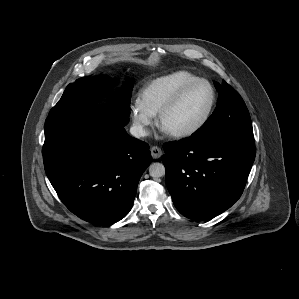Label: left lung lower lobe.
Masks as SVG:
<instances>
[{"instance_id": "obj_1", "label": "left lung lower lobe", "mask_w": 299, "mask_h": 299, "mask_svg": "<svg viewBox=\"0 0 299 299\" xmlns=\"http://www.w3.org/2000/svg\"><path fill=\"white\" fill-rule=\"evenodd\" d=\"M166 185L177 210L193 220L213 218L241 196L255 159L254 138L165 143Z\"/></svg>"}]
</instances>
